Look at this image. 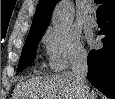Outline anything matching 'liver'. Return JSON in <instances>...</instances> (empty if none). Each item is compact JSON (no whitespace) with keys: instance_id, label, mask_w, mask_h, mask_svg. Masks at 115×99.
<instances>
[{"instance_id":"liver-1","label":"liver","mask_w":115,"mask_h":99,"mask_svg":"<svg viewBox=\"0 0 115 99\" xmlns=\"http://www.w3.org/2000/svg\"><path fill=\"white\" fill-rule=\"evenodd\" d=\"M96 92L91 91V99ZM81 94L72 77V73H62L46 77H33L19 82L12 99H81Z\"/></svg>"}]
</instances>
